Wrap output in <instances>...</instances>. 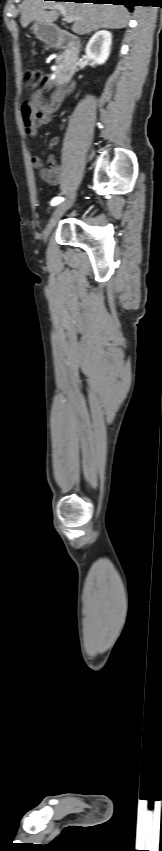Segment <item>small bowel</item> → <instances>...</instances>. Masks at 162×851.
Instances as JSON below:
<instances>
[{
  "label": "small bowel",
  "mask_w": 162,
  "mask_h": 851,
  "mask_svg": "<svg viewBox=\"0 0 162 851\" xmlns=\"http://www.w3.org/2000/svg\"><path fill=\"white\" fill-rule=\"evenodd\" d=\"M77 87L78 82L75 79H70L63 84L61 83V79L55 74L47 77L42 87L33 93L30 102L22 107V117L26 132L31 136H35L38 128L50 121L52 114L58 110L62 100H65L68 94H71ZM47 89H56V91L48 100H45L43 94ZM58 142L59 138L53 137L49 145L50 147H55ZM31 163L39 171L40 177L45 182L57 184L60 181L61 168L52 156L48 158L49 168H45L42 159L36 155L31 158Z\"/></svg>",
  "instance_id": "obj_1"
}]
</instances>
